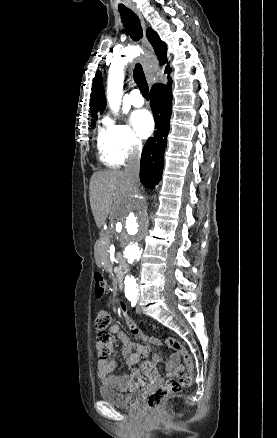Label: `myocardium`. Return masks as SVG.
<instances>
[{
  "mask_svg": "<svg viewBox=\"0 0 277 438\" xmlns=\"http://www.w3.org/2000/svg\"><path fill=\"white\" fill-rule=\"evenodd\" d=\"M143 50H147L145 47H143Z\"/></svg>",
  "mask_w": 277,
  "mask_h": 438,
  "instance_id": "myocardium-1",
  "label": "myocardium"
}]
</instances>
